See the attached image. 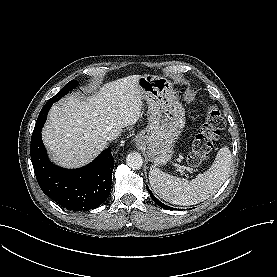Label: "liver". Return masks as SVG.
I'll return each mask as SVG.
<instances>
[{
  "mask_svg": "<svg viewBox=\"0 0 277 277\" xmlns=\"http://www.w3.org/2000/svg\"><path fill=\"white\" fill-rule=\"evenodd\" d=\"M140 76L108 82L92 96L75 94L53 105L42 130L51 160L66 168L81 167L107 146L109 133L134 125L143 105Z\"/></svg>",
  "mask_w": 277,
  "mask_h": 277,
  "instance_id": "obj_1",
  "label": "liver"
}]
</instances>
